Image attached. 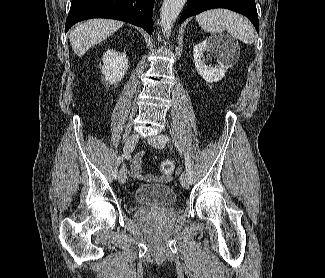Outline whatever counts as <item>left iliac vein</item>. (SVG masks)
I'll use <instances>...</instances> for the list:
<instances>
[{"instance_id":"4c4485c4","label":"left iliac vein","mask_w":325,"mask_h":278,"mask_svg":"<svg viewBox=\"0 0 325 278\" xmlns=\"http://www.w3.org/2000/svg\"><path fill=\"white\" fill-rule=\"evenodd\" d=\"M148 143L157 149H163L165 147L164 143L159 140V136L150 137ZM180 183L184 189L189 188L190 183L185 173L180 176Z\"/></svg>"}]
</instances>
